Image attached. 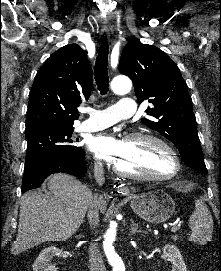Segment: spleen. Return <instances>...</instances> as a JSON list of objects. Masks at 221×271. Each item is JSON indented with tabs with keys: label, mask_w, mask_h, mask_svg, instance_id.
<instances>
[{
	"label": "spleen",
	"mask_w": 221,
	"mask_h": 271,
	"mask_svg": "<svg viewBox=\"0 0 221 271\" xmlns=\"http://www.w3.org/2000/svg\"><path fill=\"white\" fill-rule=\"evenodd\" d=\"M189 225L192 229L190 241H196L205 245L212 239L213 219L208 205L202 199H196L195 209L189 217Z\"/></svg>",
	"instance_id": "3e777b00"
}]
</instances>
